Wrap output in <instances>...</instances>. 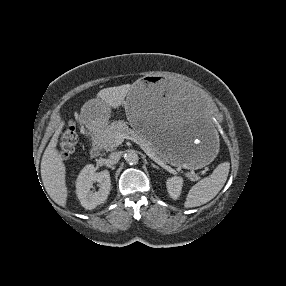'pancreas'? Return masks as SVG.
Masks as SVG:
<instances>
[{
    "instance_id": "obj_1",
    "label": "pancreas",
    "mask_w": 286,
    "mask_h": 286,
    "mask_svg": "<svg viewBox=\"0 0 286 286\" xmlns=\"http://www.w3.org/2000/svg\"><path fill=\"white\" fill-rule=\"evenodd\" d=\"M118 134H127L135 138L137 141L144 144L145 147L149 149L153 154H155L159 159H161L163 162H166L163 157L157 154L152 143L143 134L129 128L124 121H115L99 131L98 140L100 147L106 151L115 150L120 145V143H118L116 140V136ZM187 177L191 181H196L199 179L198 175L194 172L188 173Z\"/></svg>"
}]
</instances>
